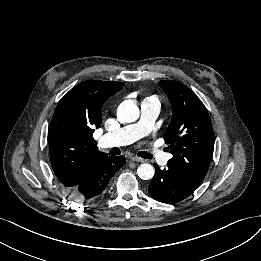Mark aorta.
Returning <instances> with one entry per match:
<instances>
[{
	"label": "aorta",
	"instance_id": "obj_1",
	"mask_svg": "<svg viewBox=\"0 0 261 261\" xmlns=\"http://www.w3.org/2000/svg\"><path fill=\"white\" fill-rule=\"evenodd\" d=\"M140 115L138 106L132 100L123 101L117 108V117L122 123L135 122ZM155 170L151 164H141L137 169L138 176L143 180L152 179Z\"/></svg>",
	"mask_w": 261,
	"mask_h": 261
}]
</instances>
